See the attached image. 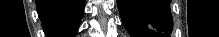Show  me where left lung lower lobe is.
<instances>
[{
    "label": "left lung lower lobe",
    "instance_id": "left-lung-lower-lobe-1",
    "mask_svg": "<svg viewBox=\"0 0 219 37\" xmlns=\"http://www.w3.org/2000/svg\"><path fill=\"white\" fill-rule=\"evenodd\" d=\"M170 0H117L122 22L131 37H170Z\"/></svg>",
    "mask_w": 219,
    "mask_h": 37
}]
</instances>
